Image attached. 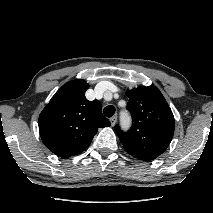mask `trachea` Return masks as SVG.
<instances>
[{
	"mask_svg": "<svg viewBox=\"0 0 213 213\" xmlns=\"http://www.w3.org/2000/svg\"><path fill=\"white\" fill-rule=\"evenodd\" d=\"M103 113L106 117L110 118L115 113V107L112 105H108L103 109Z\"/></svg>",
	"mask_w": 213,
	"mask_h": 213,
	"instance_id": "obj_1",
	"label": "trachea"
}]
</instances>
